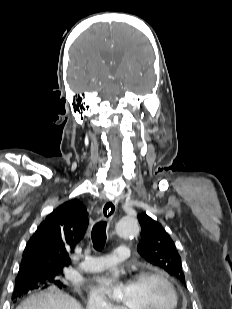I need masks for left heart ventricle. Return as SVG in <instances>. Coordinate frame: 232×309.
Wrapping results in <instances>:
<instances>
[{"instance_id":"left-heart-ventricle-1","label":"left heart ventricle","mask_w":232,"mask_h":309,"mask_svg":"<svg viewBox=\"0 0 232 309\" xmlns=\"http://www.w3.org/2000/svg\"><path fill=\"white\" fill-rule=\"evenodd\" d=\"M122 299L128 309H168L172 302L166 285L155 278L129 284Z\"/></svg>"}]
</instances>
